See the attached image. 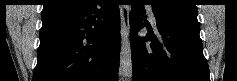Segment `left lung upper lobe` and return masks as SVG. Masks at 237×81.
I'll return each mask as SVG.
<instances>
[{
    "mask_svg": "<svg viewBox=\"0 0 237 81\" xmlns=\"http://www.w3.org/2000/svg\"><path fill=\"white\" fill-rule=\"evenodd\" d=\"M155 9L163 14H180L197 17L194 0H151Z\"/></svg>",
    "mask_w": 237,
    "mask_h": 81,
    "instance_id": "left-lung-upper-lobe-1",
    "label": "left lung upper lobe"
}]
</instances>
